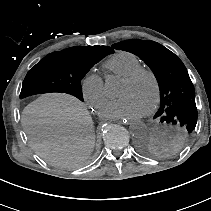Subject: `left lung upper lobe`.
I'll use <instances>...</instances> for the list:
<instances>
[{
  "label": "left lung upper lobe",
  "instance_id": "5c2ea615",
  "mask_svg": "<svg viewBox=\"0 0 211 211\" xmlns=\"http://www.w3.org/2000/svg\"><path fill=\"white\" fill-rule=\"evenodd\" d=\"M117 50L131 52L153 71L160 88V108L154 115L169 130V146H181L192 135L197 123L195 89L182 61L170 50L150 40L132 39L113 44ZM148 155L158 151L142 145Z\"/></svg>",
  "mask_w": 211,
  "mask_h": 211
}]
</instances>
